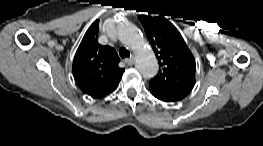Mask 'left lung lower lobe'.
I'll return each mask as SVG.
<instances>
[{"instance_id":"obj_1","label":"left lung lower lobe","mask_w":263,"mask_h":146,"mask_svg":"<svg viewBox=\"0 0 263 146\" xmlns=\"http://www.w3.org/2000/svg\"><path fill=\"white\" fill-rule=\"evenodd\" d=\"M150 88V92L152 93V95H154L156 98L165 101V102H173L172 100L168 99L167 97L163 96L162 94H160L157 90Z\"/></svg>"}]
</instances>
